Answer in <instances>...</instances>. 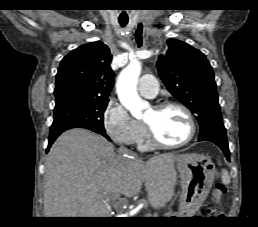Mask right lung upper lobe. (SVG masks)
I'll return each mask as SVG.
<instances>
[{"instance_id": "obj_1", "label": "right lung upper lobe", "mask_w": 258, "mask_h": 227, "mask_svg": "<svg viewBox=\"0 0 258 227\" xmlns=\"http://www.w3.org/2000/svg\"><path fill=\"white\" fill-rule=\"evenodd\" d=\"M111 60L108 47L100 41L90 42L73 50L60 63L55 96L76 94L108 99L114 83Z\"/></svg>"}]
</instances>
